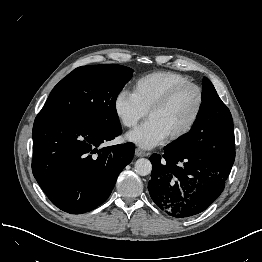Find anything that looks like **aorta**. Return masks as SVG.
Returning a JSON list of instances; mask_svg holds the SVG:
<instances>
[{"label": "aorta", "instance_id": "obj_1", "mask_svg": "<svg viewBox=\"0 0 262 262\" xmlns=\"http://www.w3.org/2000/svg\"><path fill=\"white\" fill-rule=\"evenodd\" d=\"M135 171L140 176H146L152 171V164L146 158H140L135 162Z\"/></svg>", "mask_w": 262, "mask_h": 262}]
</instances>
